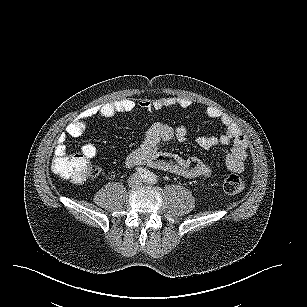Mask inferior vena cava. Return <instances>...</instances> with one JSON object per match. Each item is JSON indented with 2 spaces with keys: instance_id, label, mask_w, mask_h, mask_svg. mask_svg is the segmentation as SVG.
I'll list each match as a JSON object with an SVG mask.
<instances>
[{
  "instance_id": "602c4592",
  "label": "inferior vena cava",
  "mask_w": 307,
  "mask_h": 307,
  "mask_svg": "<svg viewBox=\"0 0 307 307\" xmlns=\"http://www.w3.org/2000/svg\"><path fill=\"white\" fill-rule=\"evenodd\" d=\"M140 176L138 175V174H133L132 176H130V178H129V185L131 186H133V185H135L136 184V181H137V179L139 178ZM135 178H137V179H135Z\"/></svg>"
}]
</instances>
